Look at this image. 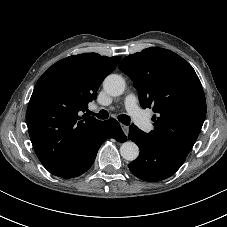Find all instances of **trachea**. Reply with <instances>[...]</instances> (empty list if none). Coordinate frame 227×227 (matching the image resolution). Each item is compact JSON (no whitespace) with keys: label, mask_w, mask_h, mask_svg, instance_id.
<instances>
[{"label":"trachea","mask_w":227,"mask_h":227,"mask_svg":"<svg viewBox=\"0 0 227 227\" xmlns=\"http://www.w3.org/2000/svg\"><path fill=\"white\" fill-rule=\"evenodd\" d=\"M91 114L98 117V119H107L109 116V114L106 110H101L98 114H96V113H91ZM118 120L125 125H129V123H130V117L125 114L119 115Z\"/></svg>","instance_id":"1"}]
</instances>
